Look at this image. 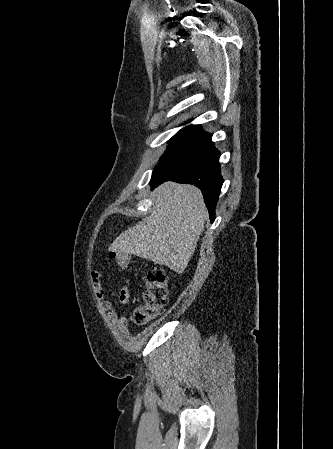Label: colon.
<instances>
[{
  "label": "colon",
  "instance_id": "5ec220e1",
  "mask_svg": "<svg viewBox=\"0 0 333 449\" xmlns=\"http://www.w3.org/2000/svg\"><path fill=\"white\" fill-rule=\"evenodd\" d=\"M108 259L118 267L126 268L130 256L126 252L112 251ZM145 286L142 303L133 312V320L136 324H144L154 319L163 310L168 299L167 277L162 270H151L147 275Z\"/></svg>",
  "mask_w": 333,
  "mask_h": 449
}]
</instances>
